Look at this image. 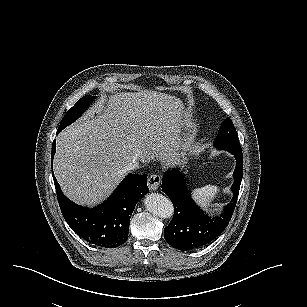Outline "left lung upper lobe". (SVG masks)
Listing matches in <instances>:
<instances>
[{
  "label": "left lung upper lobe",
  "instance_id": "1",
  "mask_svg": "<svg viewBox=\"0 0 307 307\" xmlns=\"http://www.w3.org/2000/svg\"><path fill=\"white\" fill-rule=\"evenodd\" d=\"M215 146L231 153L242 152L236 129L230 118H227L220 127Z\"/></svg>",
  "mask_w": 307,
  "mask_h": 307
}]
</instances>
